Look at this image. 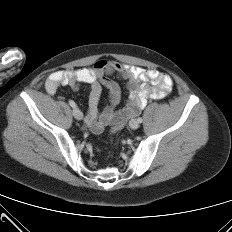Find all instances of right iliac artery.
Here are the masks:
<instances>
[{
  "instance_id": "82829eb1",
  "label": "right iliac artery",
  "mask_w": 232,
  "mask_h": 232,
  "mask_svg": "<svg viewBox=\"0 0 232 232\" xmlns=\"http://www.w3.org/2000/svg\"><path fill=\"white\" fill-rule=\"evenodd\" d=\"M69 104L71 107L76 108V104L73 100H69Z\"/></svg>"
}]
</instances>
